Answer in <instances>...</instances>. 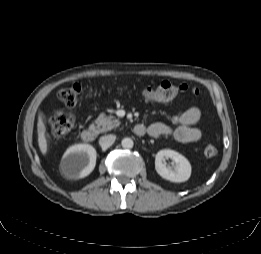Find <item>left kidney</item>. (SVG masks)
I'll return each instance as SVG.
<instances>
[{
    "label": "left kidney",
    "mask_w": 261,
    "mask_h": 254,
    "mask_svg": "<svg viewBox=\"0 0 261 254\" xmlns=\"http://www.w3.org/2000/svg\"><path fill=\"white\" fill-rule=\"evenodd\" d=\"M166 158L172 159L175 163L173 169L165 165ZM155 169L162 178L176 183L185 182L191 176L190 162L180 153L170 149L160 150L157 153Z\"/></svg>",
    "instance_id": "5707ae66"
}]
</instances>
